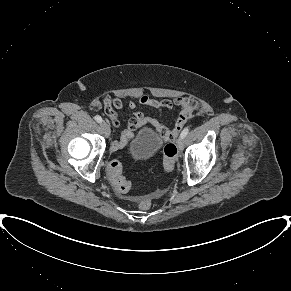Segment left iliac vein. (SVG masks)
Listing matches in <instances>:
<instances>
[{
    "instance_id": "obj_1",
    "label": "left iliac vein",
    "mask_w": 291,
    "mask_h": 291,
    "mask_svg": "<svg viewBox=\"0 0 291 291\" xmlns=\"http://www.w3.org/2000/svg\"><path fill=\"white\" fill-rule=\"evenodd\" d=\"M184 138H182L181 136L178 138L177 140V147L178 149L181 151L184 148Z\"/></svg>"
}]
</instances>
